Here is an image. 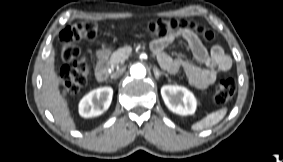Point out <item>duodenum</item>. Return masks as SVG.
I'll return each mask as SVG.
<instances>
[{"instance_id":"duodenum-1","label":"duodenum","mask_w":283,"mask_h":162,"mask_svg":"<svg viewBox=\"0 0 283 162\" xmlns=\"http://www.w3.org/2000/svg\"><path fill=\"white\" fill-rule=\"evenodd\" d=\"M109 76L108 67V54L106 51H102L98 55V61L95 69V77L97 81L104 82Z\"/></svg>"}]
</instances>
